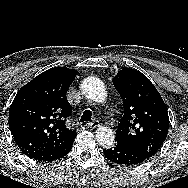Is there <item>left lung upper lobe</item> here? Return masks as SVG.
<instances>
[{
	"label": "left lung upper lobe",
	"instance_id": "5c2ea615",
	"mask_svg": "<svg viewBox=\"0 0 188 188\" xmlns=\"http://www.w3.org/2000/svg\"><path fill=\"white\" fill-rule=\"evenodd\" d=\"M113 82L125 109L118 122L115 141L154 155L169 129L168 111L162 97L151 81L135 69L120 70Z\"/></svg>",
	"mask_w": 188,
	"mask_h": 188
}]
</instances>
